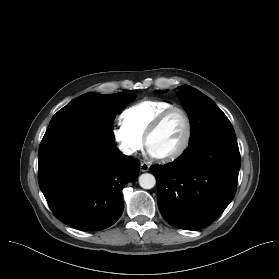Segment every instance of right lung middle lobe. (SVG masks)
Here are the masks:
<instances>
[{"mask_svg": "<svg viewBox=\"0 0 279 279\" xmlns=\"http://www.w3.org/2000/svg\"><path fill=\"white\" fill-rule=\"evenodd\" d=\"M135 99V94H84L59 110L51 119L45 134L69 128H81L114 142L112 131L116 113Z\"/></svg>", "mask_w": 279, "mask_h": 279, "instance_id": "right-lung-middle-lobe-1", "label": "right lung middle lobe"}]
</instances>
